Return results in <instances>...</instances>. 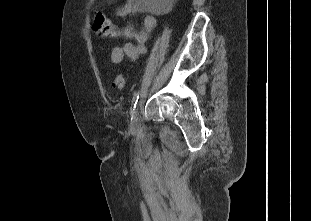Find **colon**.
<instances>
[{"label": "colon", "mask_w": 311, "mask_h": 221, "mask_svg": "<svg viewBox=\"0 0 311 221\" xmlns=\"http://www.w3.org/2000/svg\"><path fill=\"white\" fill-rule=\"evenodd\" d=\"M97 34L105 38H113L116 32V25L107 17L99 15L96 18L94 27ZM126 86V76L118 74L113 80V87L116 89H123Z\"/></svg>", "instance_id": "obj_1"}]
</instances>
